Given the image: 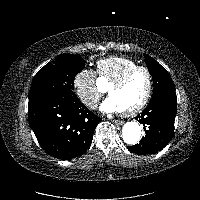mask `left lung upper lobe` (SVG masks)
Segmentation results:
<instances>
[{"label": "left lung upper lobe", "instance_id": "5c2ea615", "mask_svg": "<svg viewBox=\"0 0 200 200\" xmlns=\"http://www.w3.org/2000/svg\"><path fill=\"white\" fill-rule=\"evenodd\" d=\"M149 72L153 77V95L160 92H175V87L169 73L152 57L144 54Z\"/></svg>", "mask_w": 200, "mask_h": 200}]
</instances>
